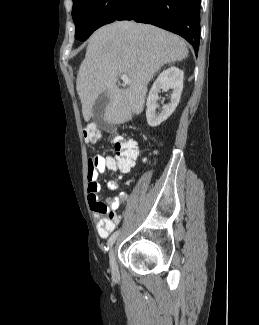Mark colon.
Returning a JSON list of instances; mask_svg holds the SVG:
<instances>
[{
	"label": "colon",
	"instance_id": "colon-1",
	"mask_svg": "<svg viewBox=\"0 0 259 325\" xmlns=\"http://www.w3.org/2000/svg\"><path fill=\"white\" fill-rule=\"evenodd\" d=\"M84 138L90 142H95L100 138V133L93 124L87 125L83 130ZM117 156L124 161L135 158L139 154L138 147L134 141L117 137L113 140ZM92 164L91 159H89Z\"/></svg>",
	"mask_w": 259,
	"mask_h": 325
}]
</instances>
